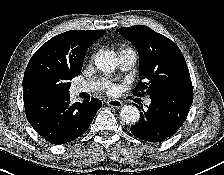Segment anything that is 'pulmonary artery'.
Returning <instances> with one entry per match:
<instances>
[{
	"instance_id": "1",
	"label": "pulmonary artery",
	"mask_w": 224,
	"mask_h": 175,
	"mask_svg": "<svg viewBox=\"0 0 224 175\" xmlns=\"http://www.w3.org/2000/svg\"><path fill=\"white\" fill-rule=\"evenodd\" d=\"M118 60L119 66L122 71L130 70L134 67L137 61L136 52L132 49H121L118 52ZM100 82H86V83H79L73 86V93L79 94L82 92H89L93 90H97L101 87ZM151 100H146V104L149 105Z\"/></svg>"
}]
</instances>
